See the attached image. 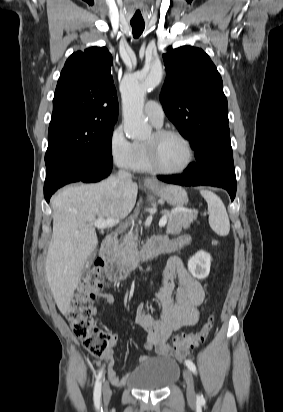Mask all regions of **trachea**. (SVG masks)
I'll return each mask as SVG.
<instances>
[{
    "instance_id": "trachea-1",
    "label": "trachea",
    "mask_w": 283,
    "mask_h": 412,
    "mask_svg": "<svg viewBox=\"0 0 283 412\" xmlns=\"http://www.w3.org/2000/svg\"><path fill=\"white\" fill-rule=\"evenodd\" d=\"M131 26L134 38H138L143 32L145 24L132 22Z\"/></svg>"
}]
</instances>
